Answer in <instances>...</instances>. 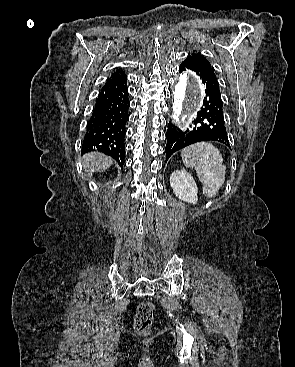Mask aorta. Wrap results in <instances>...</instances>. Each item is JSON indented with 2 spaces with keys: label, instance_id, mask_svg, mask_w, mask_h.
I'll use <instances>...</instances> for the list:
<instances>
[{
  "label": "aorta",
  "instance_id": "obj_1",
  "mask_svg": "<svg viewBox=\"0 0 295 367\" xmlns=\"http://www.w3.org/2000/svg\"><path fill=\"white\" fill-rule=\"evenodd\" d=\"M173 115L180 118L194 111L201 103L202 90L200 81L190 72H184L174 88Z\"/></svg>",
  "mask_w": 295,
  "mask_h": 367
}]
</instances>
